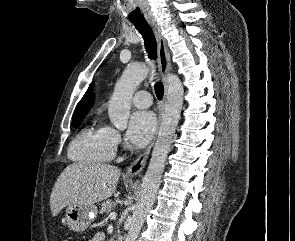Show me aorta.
Instances as JSON below:
<instances>
[{"instance_id": "aorta-1", "label": "aorta", "mask_w": 295, "mask_h": 241, "mask_svg": "<svg viewBox=\"0 0 295 241\" xmlns=\"http://www.w3.org/2000/svg\"><path fill=\"white\" fill-rule=\"evenodd\" d=\"M149 71L150 69L146 65H128L117 81L108 106L110 122L117 129H126L133 93L136 87L149 74ZM166 81L167 102L149 166L142 180L139 198L134 206L125 241H136L145 218L155 201L166 158L180 119L184 97L182 82L173 74H168Z\"/></svg>"}]
</instances>
